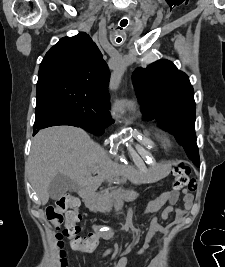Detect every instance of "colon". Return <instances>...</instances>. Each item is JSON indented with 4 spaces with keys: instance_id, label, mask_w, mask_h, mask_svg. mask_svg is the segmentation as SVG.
<instances>
[{
    "instance_id": "obj_1",
    "label": "colon",
    "mask_w": 225,
    "mask_h": 267,
    "mask_svg": "<svg viewBox=\"0 0 225 267\" xmlns=\"http://www.w3.org/2000/svg\"><path fill=\"white\" fill-rule=\"evenodd\" d=\"M174 176L173 188L183 190L188 188L195 190L197 183L195 179L190 178V168L183 161H176L172 168ZM79 200L74 196H63L55 205H50L46 209L47 218L58 229L56 234L57 246L59 248V258L57 267H68L66 253L63 250L64 239H68L70 245L75 250L91 252L94 249L92 237L82 238L80 233L81 214L79 213ZM64 227L61 228L62 224Z\"/></svg>"
}]
</instances>
